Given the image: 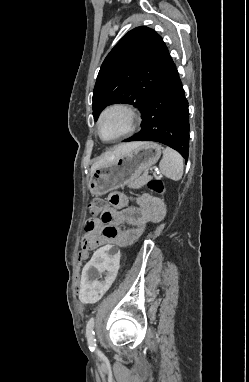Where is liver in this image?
<instances>
[{
    "mask_svg": "<svg viewBox=\"0 0 249 382\" xmlns=\"http://www.w3.org/2000/svg\"><path fill=\"white\" fill-rule=\"evenodd\" d=\"M140 142H134V143H124L117 145L112 151H109L105 153L100 159H98L92 166H91V174L98 168L107 166L114 162L119 156L127 153L134 147H136Z\"/></svg>",
    "mask_w": 249,
    "mask_h": 382,
    "instance_id": "6515ba94",
    "label": "liver"
}]
</instances>
